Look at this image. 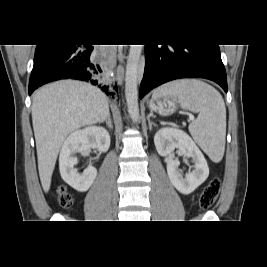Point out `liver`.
Wrapping results in <instances>:
<instances>
[{"label": "liver", "mask_w": 267, "mask_h": 267, "mask_svg": "<svg viewBox=\"0 0 267 267\" xmlns=\"http://www.w3.org/2000/svg\"><path fill=\"white\" fill-rule=\"evenodd\" d=\"M108 114L106 95L88 83L58 81L35 92L32 123L44 192L50 189L56 160L66 137L78 128L105 121Z\"/></svg>", "instance_id": "6515ba94"}]
</instances>
